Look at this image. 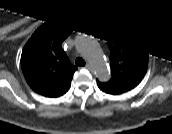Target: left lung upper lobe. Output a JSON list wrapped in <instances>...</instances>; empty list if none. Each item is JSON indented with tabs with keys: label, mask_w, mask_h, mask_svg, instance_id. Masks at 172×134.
Segmentation results:
<instances>
[{
	"label": "left lung upper lobe",
	"mask_w": 172,
	"mask_h": 134,
	"mask_svg": "<svg viewBox=\"0 0 172 134\" xmlns=\"http://www.w3.org/2000/svg\"><path fill=\"white\" fill-rule=\"evenodd\" d=\"M110 50L111 79L98 81V87L108 94H121L135 88L148 66V52L132 36L121 31L104 32Z\"/></svg>",
	"instance_id": "left-lung-upper-lobe-1"
}]
</instances>
